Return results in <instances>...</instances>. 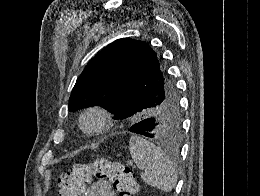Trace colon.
<instances>
[{
    "instance_id": "1",
    "label": "colon",
    "mask_w": 260,
    "mask_h": 196,
    "mask_svg": "<svg viewBox=\"0 0 260 196\" xmlns=\"http://www.w3.org/2000/svg\"><path fill=\"white\" fill-rule=\"evenodd\" d=\"M109 182L118 192H134L132 170L120 161L94 160L78 164L57 179L58 196H81L88 184Z\"/></svg>"
}]
</instances>
